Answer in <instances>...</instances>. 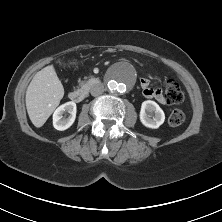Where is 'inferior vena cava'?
Here are the masks:
<instances>
[{
  "mask_svg": "<svg viewBox=\"0 0 222 222\" xmlns=\"http://www.w3.org/2000/svg\"><path fill=\"white\" fill-rule=\"evenodd\" d=\"M105 91L103 84H96L91 87L90 93L92 96H98Z\"/></svg>",
  "mask_w": 222,
  "mask_h": 222,
  "instance_id": "inferior-vena-cava-1",
  "label": "inferior vena cava"
}]
</instances>
